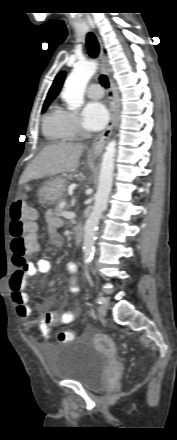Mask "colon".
<instances>
[{"instance_id":"obj_1","label":"colon","mask_w":177,"mask_h":440,"mask_svg":"<svg viewBox=\"0 0 177 440\" xmlns=\"http://www.w3.org/2000/svg\"><path fill=\"white\" fill-rule=\"evenodd\" d=\"M36 217V212L27 205L24 196H20L11 206V250L14 264L18 267L26 266L29 256L36 252ZM58 340L63 343L72 341L73 334L69 330H62L58 333Z\"/></svg>"}]
</instances>
